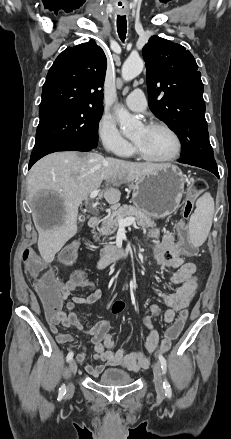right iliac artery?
I'll use <instances>...</instances> for the list:
<instances>
[{
  "label": "right iliac artery",
  "mask_w": 231,
  "mask_h": 439,
  "mask_svg": "<svg viewBox=\"0 0 231 439\" xmlns=\"http://www.w3.org/2000/svg\"><path fill=\"white\" fill-rule=\"evenodd\" d=\"M73 356H74V353H73L72 351H70V352L67 354L66 361H67V362H70V361L72 360ZM65 394H66V386H65V384H63V385L60 387V389H59V398H63V396H64Z\"/></svg>",
  "instance_id": "82829eb1"
}]
</instances>
